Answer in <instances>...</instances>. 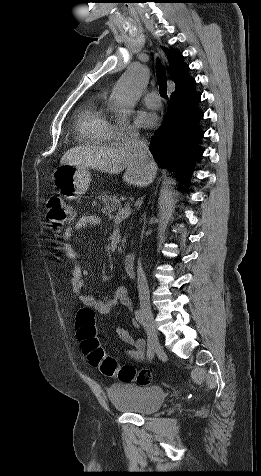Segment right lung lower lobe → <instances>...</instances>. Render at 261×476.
<instances>
[{
    "mask_svg": "<svg viewBox=\"0 0 261 476\" xmlns=\"http://www.w3.org/2000/svg\"><path fill=\"white\" fill-rule=\"evenodd\" d=\"M189 78L171 94L168 112L155 131L150 150L159 165L175 168L176 177L189 181V171L203 153L200 146L204 131L200 126L203 112L199 109L201 95Z\"/></svg>",
    "mask_w": 261,
    "mask_h": 476,
    "instance_id": "1",
    "label": "right lung lower lobe"
}]
</instances>
